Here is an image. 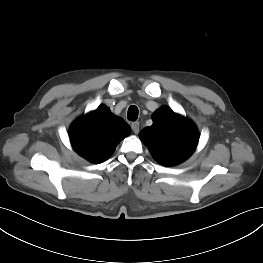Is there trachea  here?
I'll list each match as a JSON object with an SVG mask.
<instances>
[{"label": "trachea", "mask_w": 263, "mask_h": 263, "mask_svg": "<svg viewBox=\"0 0 263 263\" xmlns=\"http://www.w3.org/2000/svg\"><path fill=\"white\" fill-rule=\"evenodd\" d=\"M127 118L130 121H136L138 118V108L134 105L130 106L127 113Z\"/></svg>", "instance_id": "3493384b"}]
</instances>
